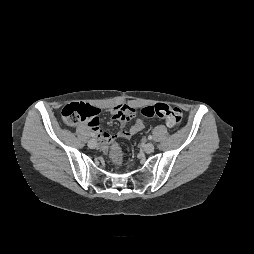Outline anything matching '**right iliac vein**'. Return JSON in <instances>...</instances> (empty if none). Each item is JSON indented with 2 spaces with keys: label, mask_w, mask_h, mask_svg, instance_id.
Returning a JSON list of instances; mask_svg holds the SVG:
<instances>
[{
  "label": "right iliac vein",
  "mask_w": 254,
  "mask_h": 254,
  "mask_svg": "<svg viewBox=\"0 0 254 254\" xmlns=\"http://www.w3.org/2000/svg\"><path fill=\"white\" fill-rule=\"evenodd\" d=\"M88 147L89 148H96L97 147V141L95 139H91L88 141Z\"/></svg>",
  "instance_id": "right-iliac-vein-1"
}]
</instances>
